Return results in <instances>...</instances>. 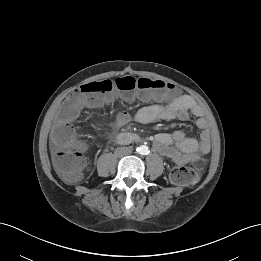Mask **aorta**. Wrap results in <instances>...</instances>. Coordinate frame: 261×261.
<instances>
[{
    "label": "aorta",
    "mask_w": 261,
    "mask_h": 261,
    "mask_svg": "<svg viewBox=\"0 0 261 261\" xmlns=\"http://www.w3.org/2000/svg\"><path fill=\"white\" fill-rule=\"evenodd\" d=\"M138 153H140L141 155H147L149 153V148L146 145H142L140 147L137 148Z\"/></svg>",
    "instance_id": "obj_1"
}]
</instances>
